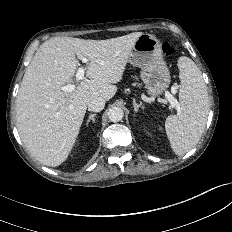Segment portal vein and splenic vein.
I'll return each instance as SVG.
<instances>
[{
  "label": "portal vein and splenic vein",
  "instance_id": "obj_1",
  "mask_svg": "<svg viewBox=\"0 0 232 232\" xmlns=\"http://www.w3.org/2000/svg\"><path fill=\"white\" fill-rule=\"evenodd\" d=\"M88 60L86 58L82 59V63H87ZM84 74H85V68L83 66H80L76 72V80L80 81L84 79ZM75 85L74 84H68L65 86L61 87V90L65 93H70L75 89ZM167 100L169 101V103L172 105V107L175 108H179V103L176 100V98H174L171 94L167 93L166 95Z\"/></svg>",
  "mask_w": 232,
  "mask_h": 232
}]
</instances>
